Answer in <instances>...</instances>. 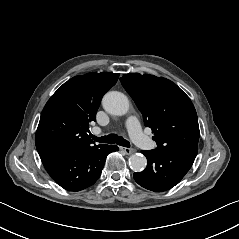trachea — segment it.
I'll return each instance as SVG.
<instances>
[{"instance_id":"trachea-1","label":"trachea","mask_w":239,"mask_h":239,"mask_svg":"<svg viewBox=\"0 0 239 239\" xmlns=\"http://www.w3.org/2000/svg\"><path fill=\"white\" fill-rule=\"evenodd\" d=\"M90 136L94 141H97L99 143H110V144L116 143L117 145H120L123 147H130L129 141H127L123 137L118 136L116 134H109L107 136H102V137H96L90 134Z\"/></svg>"}]
</instances>
